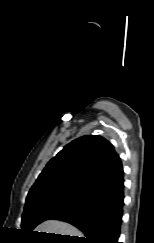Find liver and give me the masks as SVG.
<instances>
[{"label":"liver","mask_w":154,"mask_h":243,"mask_svg":"<svg viewBox=\"0 0 154 243\" xmlns=\"http://www.w3.org/2000/svg\"><path fill=\"white\" fill-rule=\"evenodd\" d=\"M35 231L82 237V233L77 228L58 220H47L41 223Z\"/></svg>","instance_id":"6515ba94"}]
</instances>
